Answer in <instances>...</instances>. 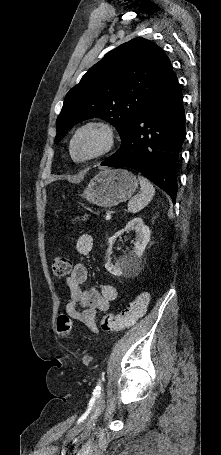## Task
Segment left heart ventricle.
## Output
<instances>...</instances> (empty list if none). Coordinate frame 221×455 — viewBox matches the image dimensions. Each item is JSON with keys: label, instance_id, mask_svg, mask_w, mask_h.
<instances>
[{"label": "left heart ventricle", "instance_id": "obj_1", "mask_svg": "<svg viewBox=\"0 0 221 455\" xmlns=\"http://www.w3.org/2000/svg\"><path fill=\"white\" fill-rule=\"evenodd\" d=\"M103 144L102 136L95 131H88L81 135L75 145L78 157H86L97 152Z\"/></svg>", "mask_w": 221, "mask_h": 455}]
</instances>
